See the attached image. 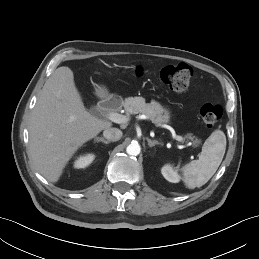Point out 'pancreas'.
Here are the masks:
<instances>
[{"label":"pancreas","mask_w":259,"mask_h":259,"mask_svg":"<svg viewBox=\"0 0 259 259\" xmlns=\"http://www.w3.org/2000/svg\"><path fill=\"white\" fill-rule=\"evenodd\" d=\"M122 105L128 114H145L156 125L167 122V119L161 115V105L155 101L146 103L142 97H128L122 102ZM189 137L193 139L191 135ZM194 143L199 144L200 140L195 139Z\"/></svg>","instance_id":"obj_1"}]
</instances>
